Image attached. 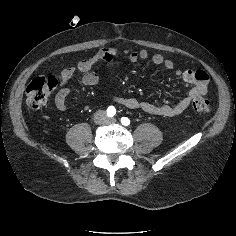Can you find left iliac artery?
<instances>
[{
	"mask_svg": "<svg viewBox=\"0 0 236 236\" xmlns=\"http://www.w3.org/2000/svg\"><path fill=\"white\" fill-rule=\"evenodd\" d=\"M120 121L125 126H128L130 124V120L127 117H121Z\"/></svg>",
	"mask_w": 236,
	"mask_h": 236,
	"instance_id": "1",
	"label": "left iliac artery"
}]
</instances>
